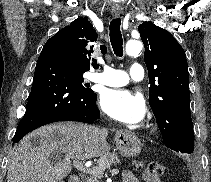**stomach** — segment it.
Segmentation results:
<instances>
[{
    "label": "stomach",
    "mask_w": 211,
    "mask_h": 182,
    "mask_svg": "<svg viewBox=\"0 0 211 182\" xmlns=\"http://www.w3.org/2000/svg\"><path fill=\"white\" fill-rule=\"evenodd\" d=\"M115 144L121 155L125 157L137 156L141 151V141L132 133L120 132L115 137Z\"/></svg>",
    "instance_id": "obj_1"
}]
</instances>
